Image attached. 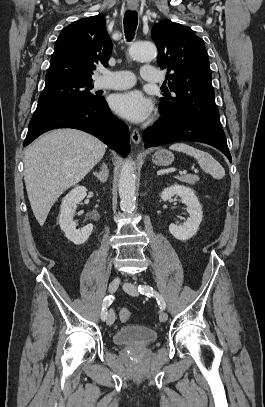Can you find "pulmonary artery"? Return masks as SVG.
Here are the masks:
<instances>
[{"label":"pulmonary artery","mask_w":265,"mask_h":407,"mask_svg":"<svg viewBox=\"0 0 265 407\" xmlns=\"http://www.w3.org/2000/svg\"><path fill=\"white\" fill-rule=\"evenodd\" d=\"M101 77L96 81L98 89L122 90L128 89L135 84L133 73L126 70L109 71L101 70ZM141 77L144 81L152 83L161 82V73L151 65H145L141 69Z\"/></svg>","instance_id":"e3ab8cb5"}]
</instances>
